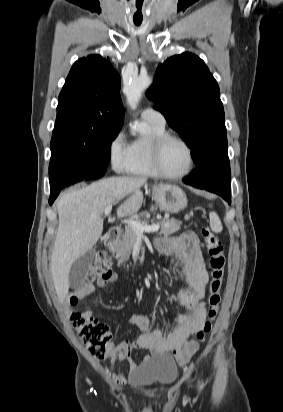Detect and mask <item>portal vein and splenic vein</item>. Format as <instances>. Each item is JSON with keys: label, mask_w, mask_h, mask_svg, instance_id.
<instances>
[{"label": "portal vein and splenic vein", "mask_w": 283, "mask_h": 412, "mask_svg": "<svg viewBox=\"0 0 283 412\" xmlns=\"http://www.w3.org/2000/svg\"><path fill=\"white\" fill-rule=\"evenodd\" d=\"M112 210V206H108L105 208V215H109L111 213ZM123 223L125 225H128L130 227H132L135 231H137L138 233H143V232H156L160 229V225L156 224V225H144L142 223H140L139 221L133 220V219H126L123 221Z\"/></svg>", "instance_id": "1"}]
</instances>
